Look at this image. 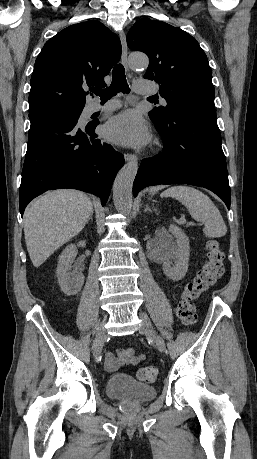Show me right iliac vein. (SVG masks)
Masks as SVG:
<instances>
[{
    "label": "right iliac vein",
    "instance_id": "obj_1",
    "mask_svg": "<svg viewBox=\"0 0 257 459\" xmlns=\"http://www.w3.org/2000/svg\"><path fill=\"white\" fill-rule=\"evenodd\" d=\"M105 339H106V328H105V320H103L96 328V339H95V344L93 346V354L97 360L100 358Z\"/></svg>",
    "mask_w": 257,
    "mask_h": 459
}]
</instances>
